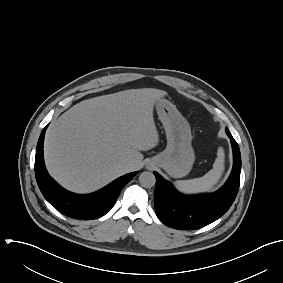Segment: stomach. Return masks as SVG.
I'll return each instance as SVG.
<instances>
[{
	"label": "stomach",
	"mask_w": 283,
	"mask_h": 283,
	"mask_svg": "<svg viewBox=\"0 0 283 283\" xmlns=\"http://www.w3.org/2000/svg\"><path fill=\"white\" fill-rule=\"evenodd\" d=\"M156 109L166 132L167 147L148 165L161 167L174 178L185 177L195 161L190 125L176 106L166 99H159Z\"/></svg>",
	"instance_id": "stomach-1"
}]
</instances>
